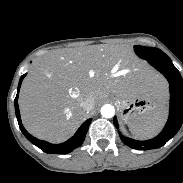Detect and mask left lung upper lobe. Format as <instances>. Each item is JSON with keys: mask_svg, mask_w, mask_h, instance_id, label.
Instances as JSON below:
<instances>
[{"mask_svg": "<svg viewBox=\"0 0 183 183\" xmlns=\"http://www.w3.org/2000/svg\"><path fill=\"white\" fill-rule=\"evenodd\" d=\"M134 49H135L136 54L140 58H143L145 60L166 56V54L158 48L143 47L140 45H136L134 47Z\"/></svg>", "mask_w": 183, "mask_h": 183, "instance_id": "1", "label": "left lung upper lobe"}]
</instances>
